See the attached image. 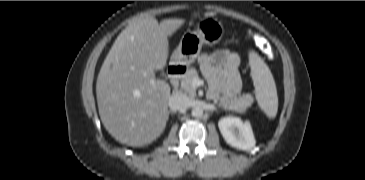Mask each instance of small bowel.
<instances>
[{
	"instance_id": "small-bowel-1",
	"label": "small bowel",
	"mask_w": 365,
	"mask_h": 180,
	"mask_svg": "<svg viewBox=\"0 0 365 180\" xmlns=\"http://www.w3.org/2000/svg\"><path fill=\"white\" fill-rule=\"evenodd\" d=\"M201 69L209 81L210 95L231 97L241 91L242 82L238 68L241 57L229 50L204 53L199 58Z\"/></svg>"
}]
</instances>
